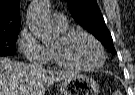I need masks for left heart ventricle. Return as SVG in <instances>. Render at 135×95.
<instances>
[{"instance_id": "1", "label": "left heart ventricle", "mask_w": 135, "mask_h": 95, "mask_svg": "<svg viewBox=\"0 0 135 95\" xmlns=\"http://www.w3.org/2000/svg\"><path fill=\"white\" fill-rule=\"evenodd\" d=\"M51 46L64 60L74 64L92 66L100 61L99 49L84 35H77L66 43L58 37Z\"/></svg>"}]
</instances>
